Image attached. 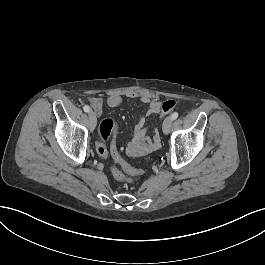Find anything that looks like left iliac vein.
Here are the masks:
<instances>
[{"label": "left iliac vein", "mask_w": 265, "mask_h": 265, "mask_svg": "<svg viewBox=\"0 0 265 265\" xmlns=\"http://www.w3.org/2000/svg\"><path fill=\"white\" fill-rule=\"evenodd\" d=\"M172 118L169 116L163 122V131L165 134L169 133L171 125H172Z\"/></svg>", "instance_id": "left-iliac-vein-1"}]
</instances>
